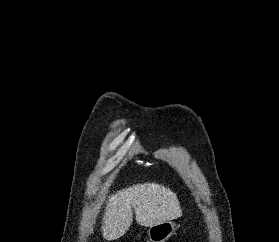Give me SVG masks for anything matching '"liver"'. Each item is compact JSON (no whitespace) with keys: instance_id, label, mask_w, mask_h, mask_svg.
<instances>
[{"instance_id":"1","label":"liver","mask_w":279,"mask_h":242,"mask_svg":"<svg viewBox=\"0 0 279 242\" xmlns=\"http://www.w3.org/2000/svg\"><path fill=\"white\" fill-rule=\"evenodd\" d=\"M141 226L177 219L182 210L177 195L158 183L132 185L109 196L102 220L103 237L113 241L128 231L133 221Z\"/></svg>"}]
</instances>
